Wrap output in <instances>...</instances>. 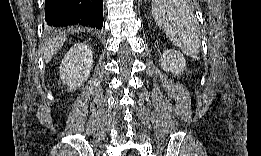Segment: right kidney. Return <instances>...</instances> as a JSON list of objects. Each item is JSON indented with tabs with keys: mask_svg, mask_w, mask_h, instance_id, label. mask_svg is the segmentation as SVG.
<instances>
[{
	"mask_svg": "<svg viewBox=\"0 0 261 156\" xmlns=\"http://www.w3.org/2000/svg\"><path fill=\"white\" fill-rule=\"evenodd\" d=\"M93 67V54L86 43H76L65 55L59 67L60 79L75 90L88 79Z\"/></svg>",
	"mask_w": 261,
	"mask_h": 156,
	"instance_id": "ca27d5eb",
	"label": "right kidney"
}]
</instances>
